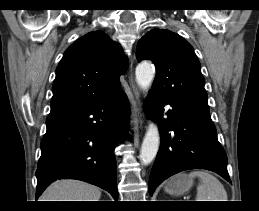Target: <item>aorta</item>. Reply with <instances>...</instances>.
<instances>
[{
    "instance_id": "obj_1",
    "label": "aorta",
    "mask_w": 259,
    "mask_h": 211,
    "mask_svg": "<svg viewBox=\"0 0 259 211\" xmlns=\"http://www.w3.org/2000/svg\"><path fill=\"white\" fill-rule=\"evenodd\" d=\"M135 76L139 87L147 91L154 79L155 68L148 62H142L136 67ZM159 144L160 134L158 127L154 122H151L140 150V161L143 165H148L154 160L159 149Z\"/></svg>"
}]
</instances>
